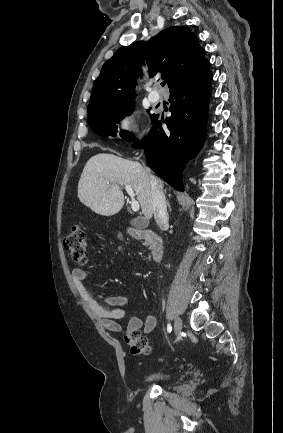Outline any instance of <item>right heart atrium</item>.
Wrapping results in <instances>:
<instances>
[{"label":"right heart atrium","instance_id":"right-heart-atrium-1","mask_svg":"<svg viewBox=\"0 0 283 433\" xmlns=\"http://www.w3.org/2000/svg\"><path fill=\"white\" fill-rule=\"evenodd\" d=\"M114 130L118 137L129 142L142 139L141 118L137 110L123 112L114 123Z\"/></svg>","mask_w":283,"mask_h":433}]
</instances>
